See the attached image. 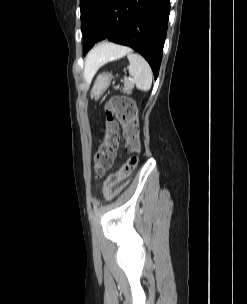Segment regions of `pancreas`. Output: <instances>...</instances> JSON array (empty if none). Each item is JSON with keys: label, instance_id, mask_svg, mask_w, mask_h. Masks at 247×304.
<instances>
[{"label": "pancreas", "instance_id": "1", "mask_svg": "<svg viewBox=\"0 0 247 304\" xmlns=\"http://www.w3.org/2000/svg\"><path fill=\"white\" fill-rule=\"evenodd\" d=\"M132 87H133L132 81L126 79L124 81V88L122 89V91L124 93H129L131 91Z\"/></svg>", "mask_w": 247, "mask_h": 304}]
</instances>
